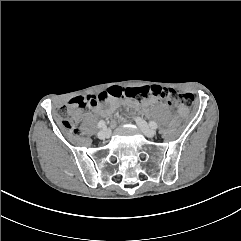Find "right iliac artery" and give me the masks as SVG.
Wrapping results in <instances>:
<instances>
[{"label":"right iliac artery","mask_w":241,"mask_h":241,"mask_svg":"<svg viewBox=\"0 0 241 241\" xmlns=\"http://www.w3.org/2000/svg\"><path fill=\"white\" fill-rule=\"evenodd\" d=\"M104 127H105V122L103 120L99 121L98 128H104Z\"/></svg>","instance_id":"right-iliac-artery-1"}]
</instances>
